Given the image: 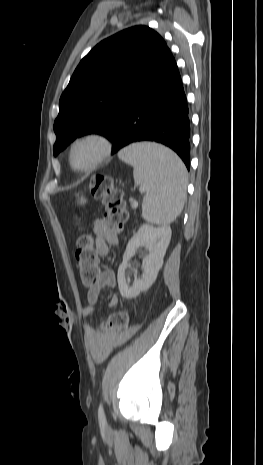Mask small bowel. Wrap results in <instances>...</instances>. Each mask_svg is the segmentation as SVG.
<instances>
[{
    "mask_svg": "<svg viewBox=\"0 0 263 465\" xmlns=\"http://www.w3.org/2000/svg\"><path fill=\"white\" fill-rule=\"evenodd\" d=\"M93 233L95 235V250L99 256H106L109 253V246L118 242L116 233L103 221L97 220L93 225ZM116 285V275L113 270L105 269L99 276L97 283L90 287L87 292L88 304L84 308L83 313L89 316L94 313L95 305L99 299L101 291L106 287H114ZM119 298L113 295L108 307L113 309L117 307ZM140 330V325H134L133 328L125 331H112L108 333L96 331L92 328L86 330L89 349L93 358L98 362L104 361L109 354L120 344L126 341L131 334H136Z\"/></svg>",
    "mask_w": 263,
    "mask_h": 465,
    "instance_id": "c3829d8e",
    "label": "small bowel"
}]
</instances>
